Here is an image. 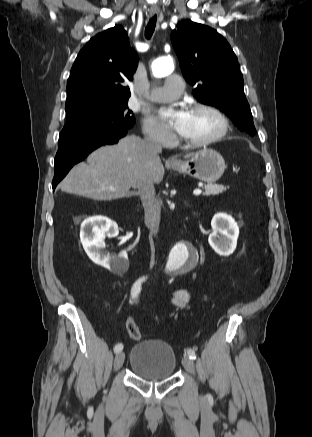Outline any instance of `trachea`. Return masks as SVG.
<instances>
[{"mask_svg": "<svg viewBox=\"0 0 312 437\" xmlns=\"http://www.w3.org/2000/svg\"><path fill=\"white\" fill-rule=\"evenodd\" d=\"M157 16L154 15L148 22L146 29H145V36L147 39H150L153 35L155 26H156Z\"/></svg>", "mask_w": 312, "mask_h": 437, "instance_id": "1", "label": "trachea"}]
</instances>
